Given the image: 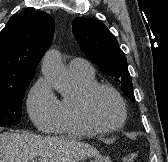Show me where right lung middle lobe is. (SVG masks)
I'll return each instance as SVG.
<instances>
[{
  "mask_svg": "<svg viewBox=\"0 0 168 162\" xmlns=\"http://www.w3.org/2000/svg\"><path fill=\"white\" fill-rule=\"evenodd\" d=\"M32 78L0 84V127L15 125L21 121L22 101Z\"/></svg>",
  "mask_w": 168,
  "mask_h": 162,
  "instance_id": "obj_1",
  "label": "right lung middle lobe"
}]
</instances>
